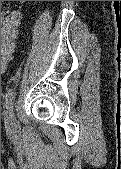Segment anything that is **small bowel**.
I'll list each match as a JSON object with an SVG mask.
<instances>
[{"mask_svg": "<svg viewBox=\"0 0 121 169\" xmlns=\"http://www.w3.org/2000/svg\"><path fill=\"white\" fill-rule=\"evenodd\" d=\"M5 70H6V68H5V69L1 68V71H2V72H4Z\"/></svg>", "mask_w": 121, "mask_h": 169, "instance_id": "1", "label": "small bowel"}]
</instances>
